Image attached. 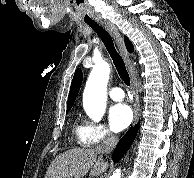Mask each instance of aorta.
<instances>
[{"label": "aorta", "mask_w": 194, "mask_h": 178, "mask_svg": "<svg viewBox=\"0 0 194 178\" xmlns=\"http://www.w3.org/2000/svg\"><path fill=\"white\" fill-rule=\"evenodd\" d=\"M109 74L110 65L107 62L96 63L85 86L83 106L86 114L97 122L105 113ZM120 176L121 172L116 170L110 178H120Z\"/></svg>", "instance_id": "1"}]
</instances>
